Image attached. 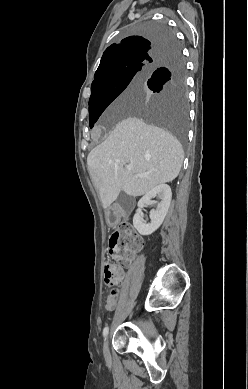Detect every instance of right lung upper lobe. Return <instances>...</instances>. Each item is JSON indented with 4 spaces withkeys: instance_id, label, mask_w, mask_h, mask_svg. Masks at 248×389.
I'll list each match as a JSON object with an SVG mask.
<instances>
[{
    "instance_id": "right-lung-upper-lobe-1",
    "label": "right lung upper lobe",
    "mask_w": 248,
    "mask_h": 389,
    "mask_svg": "<svg viewBox=\"0 0 248 389\" xmlns=\"http://www.w3.org/2000/svg\"><path fill=\"white\" fill-rule=\"evenodd\" d=\"M169 43L175 42L172 40L157 43L141 36H130L119 44H112L105 50L93 82L114 70L135 66L146 68L154 65L157 62V56L163 55L172 48Z\"/></svg>"
}]
</instances>
